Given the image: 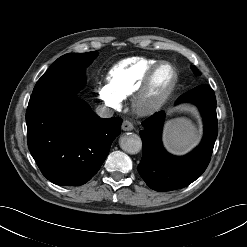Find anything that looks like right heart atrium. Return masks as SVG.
I'll return each mask as SVG.
<instances>
[{
    "mask_svg": "<svg viewBox=\"0 0 247 247\" xmlns=\"http://www.w3.org/2000/svg\"><path fill=\"white\" fill-rule=\"evenodd\" d=\"M99 98L104 102V104L113 109H119L122 104V98L118 96L110 83H102L98 88Z\"/></svg>",
    "mask_w": 247,
    "mask_h": 247,
    "instance_id": "1",
    "label": "right heart atrium"
}]
</instances>
